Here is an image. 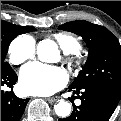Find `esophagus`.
Masks as SVG:
<instances>
[{
  "label": "esophagus",
  "mask_w": 121,
  "mask_h": 121,
  "mask_svg": "<svg viewBox=\"0 0 121 121\" xmlns=\"http://www.w3.org/2000/svg\"><path fill=\"white\" fill-rule=\"evenodd\" d=\"M59 98L57 96H54V97H51V98H47L46 100L49 102V103H54L58 100Z\"/></svg>",
  "instance_id": "esophagus-1"
}]
</instances>
